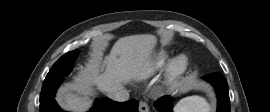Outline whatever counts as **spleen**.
I'll use <instances>...</instances> for the list:
<instances>
[{
  "label": "spleen",
  "instance_id": "spleen-1",
  "mask_svg": "<svg viewBox=\"0 0 270 112\" xmlns=\"http://www.w3.org/2000/svg\"><path fill=\"white\" fill-rule=\"evenodd\" d=\"M174 112H210V105L200 96H189L177 103Z\"/></svg>",
  "mask_w": 270,
  "mask_h": 112
}]
</instances>
